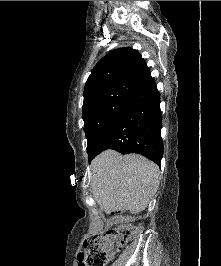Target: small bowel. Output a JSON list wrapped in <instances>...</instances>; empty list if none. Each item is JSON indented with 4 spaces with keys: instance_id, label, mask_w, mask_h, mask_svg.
<instances>
[{
    "instance_id": "1",
    "label": "small bowel",
    "mask_w": 221,
    "mask_h": 266,
    "mask_svg": "<svg viewBox=\"0 0 221 266\" xmlns=\"http://www.w3.org/2000/svg\"><path fill=\"white\" fill-rule=\"evenodd\" d=\"M76 266H87V264L84 262L83 252H76Z\"/></svg>"
}]
</instances>
